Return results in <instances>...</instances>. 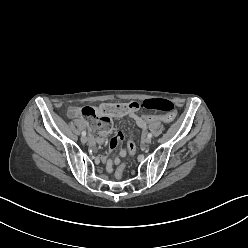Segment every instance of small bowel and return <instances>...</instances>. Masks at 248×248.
<instances>
[{"label": "small bowel", "instance_id": "small-bowel-1", "mask_svg": "<svg viewBox=\"0 0 248 248\" xmlns=\"http://www.w3.org/2000/svg\"><path fill=\"white\" fill-rule=\"evenodd\" d=\"M104 106H105V104L95 106L93 108L96 109V111L98 112L99 115H103ZM81 109L82 108H80L78 106H71V107L68 108L67 115L70 118H79V117L82 116ZM136 110L137 109L129 110L123 116H128L129 118H131L137 124V126L142 128L143 131H146L148 126H146V128H143V125L141 124V119L143 118V115H142V117H139V114L136 112ZM123 139H124V134L121 131L115 132L114 135L109 139V147H110V149H114L118 145V143L120 141H122ZM126 153H127V149L122 148L119 151V156L115 157L114 159H111L108 156H105L103 158V161L106 164L107 172L111 173L113 171V166L119 164V162H120L119 157H124L126 155Z\"/></svg>", "mask_w": 248, "mask_h": 248}]
</instances>
